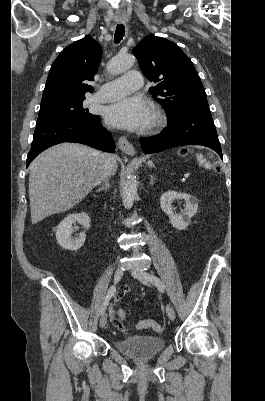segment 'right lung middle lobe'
I'll use <instances>...</instances> for the list:
<instances>
[{"mask_svg":"<svg viewBox=\"0 0 265 401\" xmlns=\"http://www.w3.org/2000/svg\"><path fill=\"white\" fill-rule=\"evenodd\" d=\"M85 97L55 100L41 104L37 124L53 120L100 121V117L90 114L83 107Z\"/></svg>","mask_w":265,"mask_h":401,"instance_id":"right-lung-middle-lobe-1","label":"right lung middle lobe"}]
</instances>
